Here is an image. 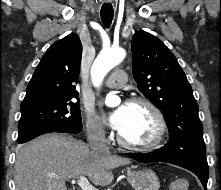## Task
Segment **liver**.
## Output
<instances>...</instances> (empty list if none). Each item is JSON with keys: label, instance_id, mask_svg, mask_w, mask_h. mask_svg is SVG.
Segmentation results:
<instances>
[{"label": "liver", "instance_id": "6515ba94", "mask_svg": "<svg viewBox=\"0 0 221 190\" xmlns=\"http://www.w3.org/2000/svg\"><path fill=\"white\" fill-rule=\"evenodd\" d=\"M131 159L93 153L83 142L47 134L22 145L16 155V190H67L66 181L87 176L95 185L113 181L112 169Z\"/></svg>", "mask_w": 221, "mask_h": 190}]
</instances>
